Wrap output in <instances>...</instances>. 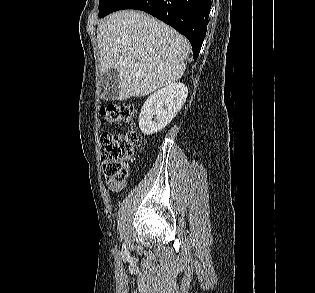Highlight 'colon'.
<instances>
[{
  "label": "colon",
  "instance_id": "obj_1",
  "mask_svg": "<svg viewBox=\"0 0 315 293\" xmlns=\"http://www.w3.org/2000/svg\"><path fill=\"white\" fill-rule=\"evenodd\" d=\"M102 119L109 123H131L135 110L131 105H108L101 109ZM141 144V136L136 131L124 134H103L99 140V150L105 178L109 183H122L127 177V165Z\"/></svg>",
  "mask_w": 315,
  "mask_h": 293
}]
</instances>
